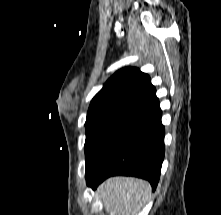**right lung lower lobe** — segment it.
Returning <instances> with one entry per match:
<instances>
[{"mask_svg": "<svg viewBox=\"0 0 221 215\" xmlns=\"http://www.w3.org/2000/svg\"><path fill=\"white\" fill-rule=\"evenodd\" d=\"M158 99L137 109L109 138L86 170L87 185L95 189L106 178L129 175L150 182L155 190L164 159V126Z\"/></svg>", "mask_w": 221, "mask_h": 215, "instance_id": "obj_1", "label": "right lung lower lobe"}]
</instances>
